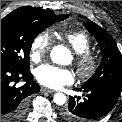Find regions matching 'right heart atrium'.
<instances>
[{
    "mask_svg": "<svg viewBox=\"0 0 122 122\" xmlns=\"http://www.w3.org/2000/svg\"><path fill=\"white\" fill-rule=\"evenodd\" d=\"M52 37L48 31L38 34L31 43V58L33 61H40L50 50Z\"/></svg>",
    "mask_w": 122,
    "mask_h": 122,
    "instance_id": "d8ad5b80",
    "label": "right heart atrium"
}]
</instances>
